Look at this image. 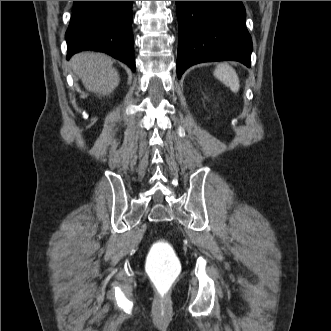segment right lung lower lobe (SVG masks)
Wrapping results in <instances>:
<instances>
[{
    "label": "right lung lower lobe",
    "instance_id": "right-lung-lower-lobe-1",
    "mask_svg": "<svg viewBox=\"0 0 331 331\" xmlns=\"http://www.w3.org/2000/svg\"><path fill=\"white\" fill-rule=\"evenodd\" d=\"M133 1H74L66 32L67 59L82 50L105 52L134 72Z\"/></svg>",
    "mask_w": 331,
    "mask_h": 331
}]
</instances>
